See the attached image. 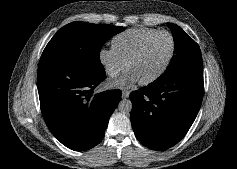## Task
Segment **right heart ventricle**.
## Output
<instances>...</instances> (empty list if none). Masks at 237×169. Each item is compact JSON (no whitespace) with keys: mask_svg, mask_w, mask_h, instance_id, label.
<instances>
[{"mask_svg":"<svg viewBox=\"0 0 237 169\" xmlns=\"http://www.w3.org/2000/svg\"><path fill=\"white\" fill-rule=\"evenodd\" d=\"M156 32V29L151 28L126 30L113 38L112 48L127 62L129 57L138 49L142 42Z\"/></svg>","mask_w":237,"mask_h":169,"instance_id":"right-heart-ventricle-1","label":"right heart ventricle"}]
</instances>
